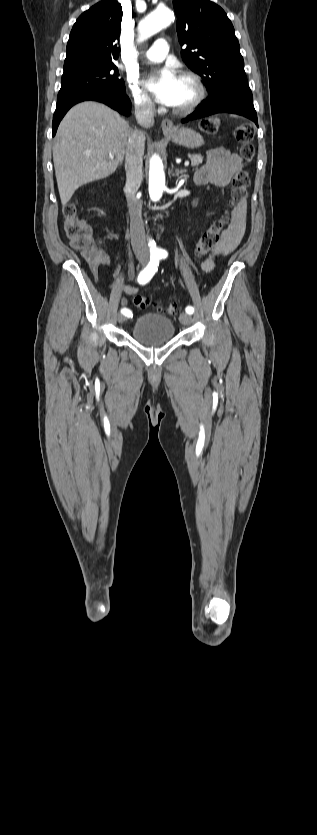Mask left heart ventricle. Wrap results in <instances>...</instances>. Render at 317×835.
Here are the masks:
<instances>
[{"mask_svg": "<svg viewBox=\"0 0 317 835\" xmlns=\"http://www.w3.org/2000/svg\"><path fill=\"white\" fill-rule=\"evenodd\" d=\"M194 96V89L190 82L179 78L178 92L174 107L186 105Z\"/></svg>", "mask_w": 317, "mask_h": 835, "instance_id": "left-heart-ventricle-1", "label": "left heart ventricle"}]
</instances>
